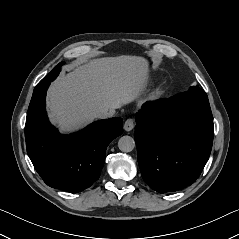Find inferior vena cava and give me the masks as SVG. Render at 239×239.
Segmentation results:
<instances>
[{
    "label": "inferior vena cava",
    "mask_w": 239,
    "mask_h": 239,
    "mask_svg": "<svg viewBox=\"0 0 239 239\" xmlns=\"http://www.w3.org/2000/svg\"><path fill=\"white\" fill-rule=\"evenodd\" d=\"M115 114V110L114 109H109V110H104L101 111L97 114L98 118L104 119V118H110L113 117Z\"/></svg>",
    "instance_id": "602c4592"
}]
</instances>
